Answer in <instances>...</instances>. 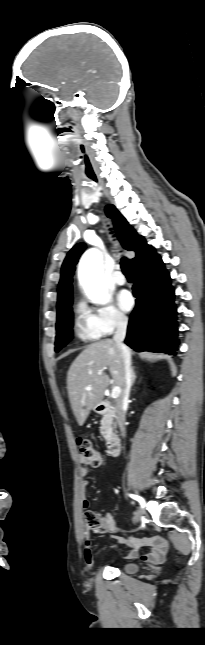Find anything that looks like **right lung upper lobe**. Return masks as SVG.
Segmentation results:
<instances>
[{"label":"right lung upper lobe","mask_w":205,"mask_h":645,"mask_svg":"<svg viewBox=\"0 0 205 645\" xmlns=\"http://www.w3.org/2000/svg\"><path fill=\"white\" fill-rule=\"evenodd\" d=\"M106 214L113 220L118 238L123 247L129 251L136 252V257L132 263L138 266L156 254L155 249L148 245L142 236L128 224L126 219L117 211L113 205L106 207ZM85 249L84 243L76 244L67 254L61 269V279L58 286L57 315L64 309L72 305V275L75 270L74 265L77 263L79 256Z\"/></svg>","instance_id":"right-lung-upper-lobe-1"}]
</instances>
